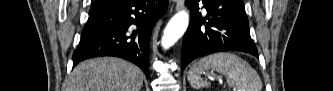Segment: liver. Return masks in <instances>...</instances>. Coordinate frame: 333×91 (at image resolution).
<instances>
[{
    "mask_svg": "<svg viewBox=\"0 0 333 91\" xmlns=\"http://www.w3.org/2000/svg\"><path fill=\"white\" fill-rule=\"evenodd\" d=\"M142 84L140 68L119 58L103 57L78 64L67 91H140Z\"/></svg>",
    "mask_w": 333,
    "mask_h": 91,
    "instance_id": "obj_1",
    "label": "liver"
}]
</instances>
